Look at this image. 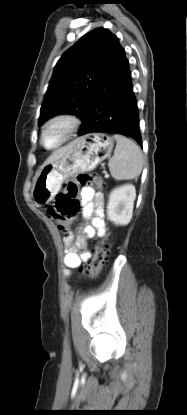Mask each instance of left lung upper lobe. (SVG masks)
Wrapping results in <instances>:
<instances>
[{
    "label": "left lung upper lobe",
    "mask_w": 187,
    "mask_h": 415,
    "mask_svg": "<svg viewBox=\"0 0 187 415\" xmlns=\"http://www.w3.org/2000/svg\"><path fill=\"white\" fill-rule=\"evenodd\" d=\"M108 29L98 28L84 35L57 62L41 106L38 125L58 114L86 119L95 115L91 96L96 82L117 41Z\"/></svg>",
    "instance_id": "obj_1"
}]
</instances>
